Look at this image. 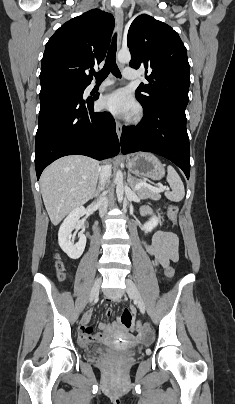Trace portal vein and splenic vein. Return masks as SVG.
<instances>
[{"label":"portal vein and splenic vein","instance_id":"18ae733b","mask_svg":"<svg viewBox=\"0 0 235 404\" xmlns=\"http://www.w3.org/2000/svg\"><path fill=\"white\" fill-rule=\"evenodd\" d=\"M141 187H147L150 190L154 191V192H161V191H165V190H169V187L166 186H159V187H153L147 183H139L135 186V190L138 191Z\"/></svg>","mask_w":235,"mask_h":404}]
</instances>
